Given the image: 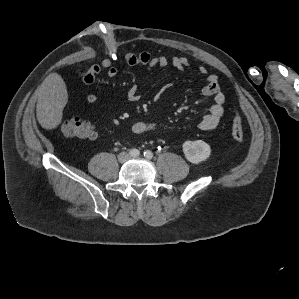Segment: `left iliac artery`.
<instances>
[{
  "mask_svg": "<svg viewBox=\"0 0 299 299\" xmlns=\"http://www.w3.org/2000/svg\"><path fill=\"white\" fill-rule=\"evenodd\" d=\"M144 156L147 158V159H151L153 157V153L149 150H146L144 152Z\"/></svg>",
  "mask_w": 299,
  "mask_h": 299,
  "instance_id": "1",
  "label": "left iliac artery"
}]
</instances>
